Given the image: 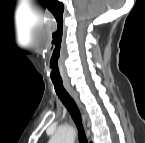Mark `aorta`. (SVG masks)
I'll use <instances>...</instances> for the list:
<instances>
[{"label": "aorta", "instance_id": "762f6f07", "mask_svg": "<svg viewBox=\"0 0 145 143\" xmlns=\"http://www.w3.org/2000/svg\"><path fill=\"white\" fill-rule=\"evenodd\" d=\"M75 132L71 127L60 128L51 138L52 143H73Z\"/></svg>", "mask_w": 145, "mask_h": 143}]
</instances>
